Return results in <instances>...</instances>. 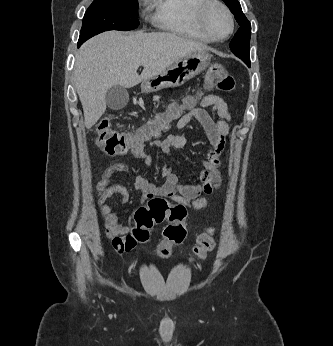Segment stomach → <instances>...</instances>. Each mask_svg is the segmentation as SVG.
Segmentation results:
<instances>
[{
  "label": "stomach",
  "mask_w": 333,
  "mask_h": 346,
  "mask_svg": "<svg viewBox=\"0 0 333 346\" xmlns=\"http://www.w3.org/2000/svg\"><path fill=\"white\" fill-rule=\"evenodd\" d=\"M211 55L206 50L192 52L181 58L162 73L144 80L143 93H153L164 88L183 85L203 72L210 64Z\"/></svg>",
  "instance_id": "1"
}]
</instances>
